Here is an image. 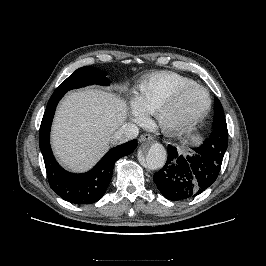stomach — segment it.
<instances>
[{
  "instance_id": "1",
  "label": "stomach",
  "mask_w": 266,
  "mask_h": 266,
  "mask_svg": "<svg viewBox=\"0 0 266 266\" xmlns=\"http://www.w3.org/2000/svg\"><path fill=\"white\" fill-rule=\"evenodd\" d=\"M199 141V138L198 137H194V138H192L191 140H190V142H192V143H197ZM186 143H188V142H186ZM184 151H190L186 146H184Z\"/></svg>"
}]
</instances>
